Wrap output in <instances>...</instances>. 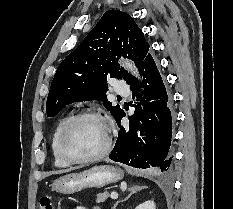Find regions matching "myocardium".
Wrapping results in <instances>:
<instances>
[{"mask_svg": "<svg viewBox=\"0 0 233 209\" xmlns=\"http://www.w3.org/2000/svg\"><path fill=\"white\" fill-rule=\"evenodd\" d=\"M84 118H94L103 123L105 130H106V142L104 146L102 147V149L94 155H91L88 157H80V158L72 157L68 154V152L65 149V142H66L68 133L71 127L73 126V124L77 122L78 120H81ZM111 146H112V136H111L109 129L107 128L105 124L104 118L98 112H95L92 110H84L69 117L61 129L59 139H58L59 155L64 161H66L69 164H87V163L97 161L105 157L109 153Z\"/></svg>", "mask_w": 233, "mask_h": 209, "instance_id": "f54148a6", "label": "myocardium"}]
</instances>
